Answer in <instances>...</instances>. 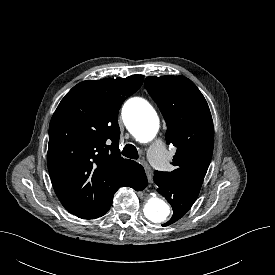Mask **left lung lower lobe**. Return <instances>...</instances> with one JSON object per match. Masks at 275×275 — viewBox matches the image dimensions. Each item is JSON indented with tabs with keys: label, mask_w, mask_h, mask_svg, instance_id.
Segmentation results:
<instances>
[{
	"label": "left lung lower lobe",
	"mask_w": 275,
	"mask_h": 275,
	"mask_svg": "<svg viewBox=\"0 0 275 275\" xmlns=\"http://www.w3.org/2000/svg\"><path fill=\"white\" fill-rule=\"evenodd\" d=\"M154 181L159 187L158 191L165 196L173 208L172 218L163 226L170 225L179 220L191 208L200 189L170 180L162 172L155 171Z\"/></svg>",
	"instance_id": "left-lung-lower-lobe-1"
}]
</instances>
